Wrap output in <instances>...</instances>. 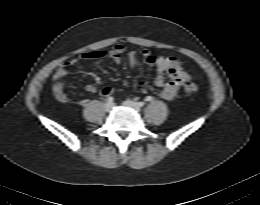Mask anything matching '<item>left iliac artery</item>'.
Listing matches in <instances>:
<instances>
[{"mask_svg": "<svg viewBox=\"0 0 260 205\" xmlns=\"http://www.w3.org/2000/svg\"><path fill=\"white\" fill-rule=\"evenodd\" d=\"M151 99H152L151 97L148 98V100H151ZM138 105H139V107H143L144 103L143 102H138Z\"/></svg>", "mask_w": 260, "mask_h": 205, "instance_id": "1", "label": "left iliac artery"}]
</instances>
